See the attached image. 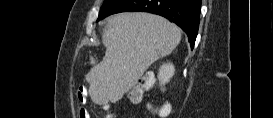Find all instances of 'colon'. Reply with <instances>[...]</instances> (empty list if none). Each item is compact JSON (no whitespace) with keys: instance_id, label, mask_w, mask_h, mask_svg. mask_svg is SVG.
<instances>
[{"instance_id":"5ec220e1","label":"colon","mask_w":273,"mask_h":118,"mask_svg":"<svg viewBox=\"0 0 273 118\" xmlns=\"http://www.w3.org/2000/svg\"><path fill=\"white\" fill-rule=\"evenodd\" d=\"M150 84V80L149 79H145V80H142L140 81L136 87L130 92L129 94V98L132 102H137L139 101L141 95H142V92H143V89L145 87H147L148 85ZM170 110V107L168 105H165L163 106L160 110H159V113L162 115V116H165L167 115V113L169 112Z\"/></svg>"}]
</instances>
